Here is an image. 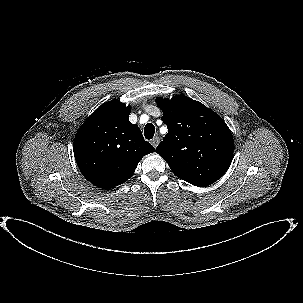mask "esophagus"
<instances>
[{
    "mask_svg": "<svg viewBox=\"0 0 303 303\" xmlns=\"http://www.w3.org/2000/svg\"><path fill=\"white\" fill-rule=\"evenodd\" d=\"M159 142H160L159 137H154V138L151 140V144H152L153 147H155V148L158 146Z\"/></svg>",
    "mask_w": 303,
    "mask_h": 303,
    "instance_id": "1",
    "label": "esophagus"
}]
</instances>
